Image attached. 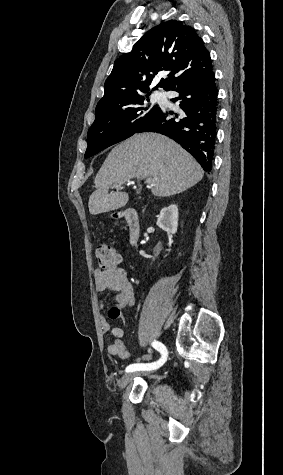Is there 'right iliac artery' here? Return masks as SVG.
<instances>
[{
    "label": "right iliac artery",
    "instance_id": "82829eb1",
    "mask_svg": "<svg viewBox=\"0 0 283 475\" xmlns=\"http://www.w3.org/2000/svg\"><path fill=\"white\" fill-rule=\"evenodd\" d=\"M152 346L161 353L162 357L160 358V360H158L157 362L147 363V364H142V363L131 364L126 368V372L149 371V370L157 369L160 366H162L167 360V356H168L167 349L161 342H158V341H154L152 343Z\"/></svg>",
    "mask_w": 283,
    "mask_h": 475
}]
</instances>
